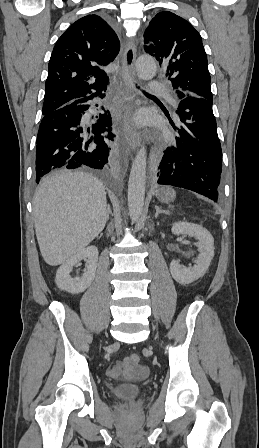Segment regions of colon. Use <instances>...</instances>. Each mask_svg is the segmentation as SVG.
<instances>
[{"instance_id": "obj_1", "label": "colon", "mask_w": 259, "mask_h": 448, "mask_svg": "<svg viewBox=\"0 0 259 448\" xmlns=\"http://www.w3.org/2000/svg\"><path fill=\"white\" fill-rule=\"evenodd\" d=\"M129 363L133 366H136L140 362V357L137 354H132L128 357Z\"/></svg>"}]
</instances>
